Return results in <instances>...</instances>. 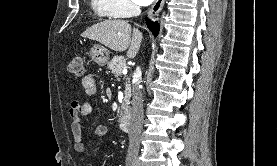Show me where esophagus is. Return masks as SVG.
Masks as SVG:
<instances>
[{
  "mask_svg": "<svg viewBox=\"0 0 277 166\" xmlns=\"http://www.w3.org/2000/svg\"><path fill=\"white\" fill-rule=\"evenodd\" d=\"M164 3H165V0H155L154 4L152 5L148 13L152 19H155L158 17L160 11L164 6Z\"/></svg>",
  "mask_w": 277,
  "mask_h": 166,
  "instance_id": "1",
  "label": "esophagus"
}]
</instances>
